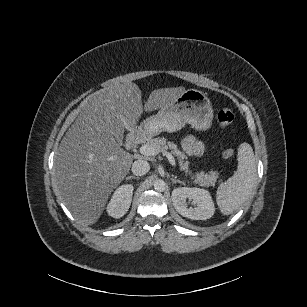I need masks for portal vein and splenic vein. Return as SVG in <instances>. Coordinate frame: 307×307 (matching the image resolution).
<instances>
[{
    "label": "portal vein and splenic vein",
    "instance_id": "1",
    "mask_svg": "<svg viewBox=\"0 0 307 307\" xmlns=\"http://www.w3.org/2000/svg\"><path fill=\"white\" fill-rule=\"evenodd\" d=\"M139 152L142 154V155H145V156H154L157 154L156 150L154 147L152 146H148V145H143L140 147L139 149ZM163 155H165L167 157V159L169 160L170 164L172 166H175V159L173 157V155L167 151L163 152Z\"/></svg>",
    "mask_w": 307,
    "mask_h": 307
}]
</instances>
